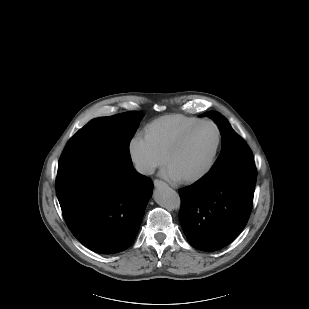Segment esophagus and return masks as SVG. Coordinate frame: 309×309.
Returning a JSON list of instances; mask_svg holds the SVG:
<instances>
[{"instance_id":"obj_1","label":"esophagus","mask_w":309,"mask_h":309,"mask_svg":"<svg viewBox=\"0 0 309 309\" xmlns=\"http://www.w3.org/2000/svg\"><path fill=\"white\" fill-rule=\"evenodd\" d=\"M153 183L156 188L166 186V183L159 179H155Z\"/></svg>"}]
</instances>
